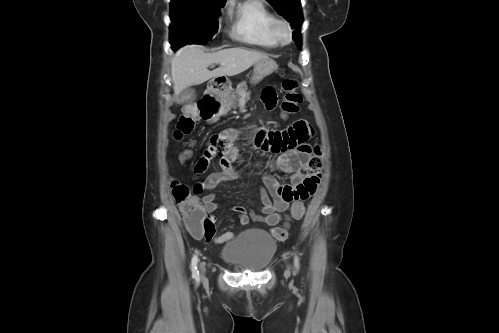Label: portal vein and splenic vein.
<instances>
[{
	"label": "portal vein and splenic vein",
	"instance_id": "obj_1",
	"mask_svg": "<svg viewBox=\"0 0 499 333\" xmlns=\"http://www.w3.org/2000/svg\"><path fill=\"white\" fill-rule=\"evenodd\" d=\"M245 96H246V94L244 93V94H243V97H245Z\"/></svg>",
	"mask_w": 499,
	"mask_h": 333
}]
</instances>
